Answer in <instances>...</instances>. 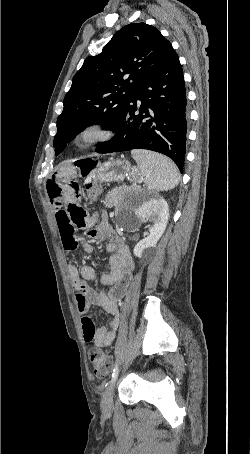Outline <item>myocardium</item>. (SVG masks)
I'll list each match as a JSON object with an SVG mask.
<instances>
[{
    "label": "myocardium",
    "instance_id": "1",
    "mask_svg": "<svg viewBox=\"0 0 250 454\" xmlns=\"http://www.w3.org/2000/svg\"><path fill=\"white\" fill-rule=\"evenodd\" d=\"M112 136L108 125L102 121H94L80 128L75 136L74 141L81 147H89L97 143L108 140Z\"/></svg>",
    "mask_w": 250,
    "mask_h": 454
}]
</instances>
